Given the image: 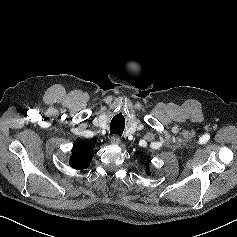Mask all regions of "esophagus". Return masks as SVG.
I'll use <instances>...</instances> for the list:
<instances>
[{
    "instance_id": "34e87169",
    "label": "esophagus",
    "mask_w": 237,
    "mask_h": 237,
    "mask_svg": "<svg viewBox=\"0 0 237 237\" xmlns=\"http://www.w3.org/2000/svg\"><path fill=\"white\" fill-rule=\"evenodd\" d=\"M111 142L116 145L120 144L121 142L120 137L118 135H113L111 137Z\"/></svg>"
}]
</instances>
